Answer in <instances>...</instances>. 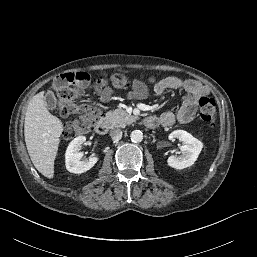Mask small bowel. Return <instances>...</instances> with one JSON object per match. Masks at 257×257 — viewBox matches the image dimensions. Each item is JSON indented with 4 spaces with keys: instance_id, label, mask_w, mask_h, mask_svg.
Masks as SVG:
<instances>
[{
    "instance_id": "obj_1",
    "label": "small bowel",
    "mask_w": 257,
    "mask_h": 257,
    "mask_svg": "<svg viewBox=\"0 0 257 257\" xmlns=\"http://www.w3.org/2000/svg\"><path fill=\"white\" fill-rule=\"evenodd\" d=\"M181 90L184 93V100L177 111H166L159 117L158 125L170 127L177 123L186 124L191 122L196 115L199 99L208 93L207 88L196 80H182L180 78L169 76L154 85L153 91L160 95L166 90ZM95 92L98 98L103 101H109L113 96L110 87L96 85ZM147 86L138 80L133 81L131 91L128 93L129 98H144L148 95Z\"/></svg>"
}]
</instances>
